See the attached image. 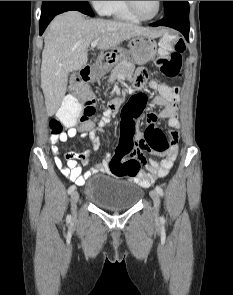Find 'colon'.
Wrapping results in <instances>:
<instances>
[{"mask_svg":"<svg viewBox=\"0 0 233 295\" xmlns=\"http://www.w3.org/2000/svg\"><path fill=\"white\" fill-rule=\"evenodd\" d=\"M161 47L163 54L157 60V66L166 77H179L182 54L185 51L184 41L178 35L169 33L162 39ZM151 86L165 97L179 95L176 86L157 82H152ZM95 113V99L88 81L81 76L75 77L70 84V94L59 109L57 118L50 121V130L53 135H58L63 130V124H73L79 117L85 127H93L91 118ZM170 148L171 141L159 128L148 126L144 133H137L135 120L128 112H124L120 141L109 163L110 172L118 177L133 178L139 173L141 165L146 163L145 153L164 155Z\"/></svg>","mask_w":233,"mask_h":295,"instance_id":"5ec220e1","label":"colon"}]
</instances>
